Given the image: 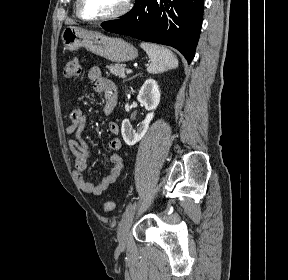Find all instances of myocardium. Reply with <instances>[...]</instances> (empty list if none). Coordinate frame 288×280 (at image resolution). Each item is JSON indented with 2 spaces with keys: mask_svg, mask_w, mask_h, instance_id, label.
Returning <instances> with one entry per match:
<instances>
[{
  "mask_svg": "<svg viewBox=\"0 0 288 280\" xmlns=\"http://www.w3.org/2000/svg\"><path fill=\"white\" fill-rule=\"evenodd\" d=\"M81 4H82V0H76V14L78 15V17L87 22L97 23V22H108V21L116 20V19L123 17L129 12L131 5H132V0H125L123 3V6L118 11L110 15L97 17V18H91V17L85 16L82 12Z\"/></svg>",
  "mask_w": 288,
  "mask_h": 280,
  "instance_id": "obj_1",
  "label": "myocardium"
}]
</instances>
